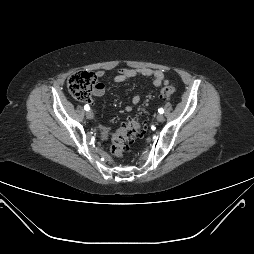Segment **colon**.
Listing matches in <instances>:
<instances>
[{"label": "colon", "mask_w": 254, "mask_h": 254, "mask_svg": "<svg viewBox=\"0 0 254 254\" xmlns=\"http://www.w3.org/2000/svg\"><path fill=\"white\" fill-rule=\"evenodd\" d=\"M98 85V76L93 72H77L72 74L67 81V87L71 95L81 101H88L91 93ZM176 89L166 86L160 90L162 99H169ZM145 133V127L137 120H127L111 136L110 151L116 158H122L128 146Z\"/></svg>", "instance_id": "1"}]
</instances>
